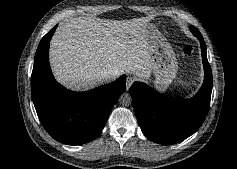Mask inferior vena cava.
Segmentation results:
<instances>
[{"mask_svg":"<svg viewBox=\"0 0 237 169\" xmlns=\"http://www.w3.org/2000/svg\"><path fill=\"white\" fill-rule=\"evenodd\" d=\"M117 75L118 73L114 70H103L100 73V77L105 81L115 78Z\"/></svg>","mask_w":237,"mask_h":169,"instance_id":"obj_1","label":"inferior vena cava"}]
</instances>
